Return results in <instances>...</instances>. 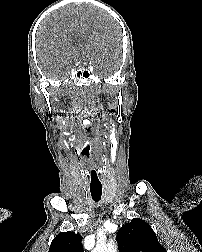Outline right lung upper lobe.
Returning a JSON list of instances; mask_svg holds the SVG:
<instances>
[{
  "label": "right lung upper lobe",
  "mask_w": 202,
  "mask_h": 252,
  "mask_svg": "<svg viewBox=\"0 0 202 252\" xmlns=\"http://www.w3.org/2000/svg\"><path fill=\"white\" fill-rule=\"evenodd\" d=\"M82 236L74 232H62L52 241L49 252H84Z\"/></svg>",
  "instance_id": "1"
}]
</instances>
